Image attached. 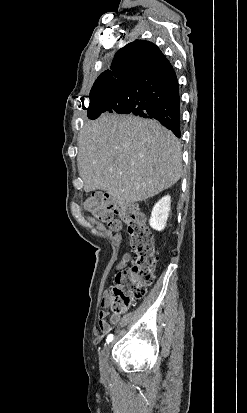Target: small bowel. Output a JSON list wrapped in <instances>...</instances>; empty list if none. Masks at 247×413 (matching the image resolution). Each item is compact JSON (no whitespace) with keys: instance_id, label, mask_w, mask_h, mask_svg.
Wrapping results in <instances>:
<instances>
[{"instance_id":"small-bowel-1","label":"small bowel","mask_w":247,"mask_h":413,"mask_svg":"<svg viewBox=\"0 0 247 413\" xmlns=\"http://www.w3.org/2000/svg\"><path fill=\"white\" fill-rule=\"evenodd\" d=\"M130 261V256L129 254H124L121 261L117 264V269H123L126 267L127 263ZM110 302V293L109 290L106 289L103 297H102V306L106 307L108 303ZM109 316L108 312L106 310H101L98 314V328L101 334L105 335L108 334L113 326H116L120 322V316L112 314L110 315L109 319L107 317Z\"/></svg>"}]
</instances>
